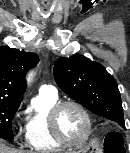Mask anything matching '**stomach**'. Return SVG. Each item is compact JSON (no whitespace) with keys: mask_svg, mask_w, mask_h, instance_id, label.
Returning a JSON list of instances; mask_svg holds the SVG:
<instances>
[{"mask_svg":"<svg viewBox=\"0 0 130 153\" xmlns=\"http://www.w3.org/2000/svg\"><path fill=\"white\" fill-rule=\"evenodd\" d=\"M94 150H98L97 141H93V142H91L89 147L79 149V150H77V151H75L73 153H88V151H94ZM91 153H94V152H91ZM95 153H98V152H95Z\"/></svg>","mask_w":130,"mask_h":153,"instance_id":"obj_1","label":"stomach"}]
</instances>
